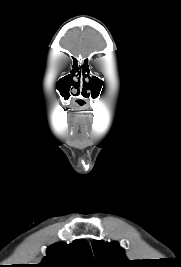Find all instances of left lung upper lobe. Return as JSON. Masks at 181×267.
Returning <instances> with one entry per match:
<instances>
[{"instance_id": "obj_1", "label": "left lung upper lobe", "mask_w": 181, "mask_h": 267, "mask_svg": "<svg viewBox=\"0 0 181 267\" xmlns=\"http://www.w3.org/2000/svg\"><path fill=\"white\" fill-rule=\"evenodd\" d=\"M95 267H132L134 262L127 259L124 249L117 242L92 241Z\"/></svg>"}]
</instances>
